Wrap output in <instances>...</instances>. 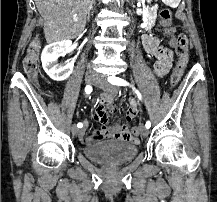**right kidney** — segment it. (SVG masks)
Here are the masks:
<instances>
[{
	"label": "right kidney",
	"instance_id": "ca27d5eb",
	"mask_svg": "<svg viewBox=\"0 0 217 202\" xmlns=\"http://www.w3.org/2000/svg\"><path fill=\"white\" fill-rule=\"evenodd\" d=\"M71 46V40H62V42H54V44H49V46L44 48L41 54V62L46 74L52 80H58L60 82V80L69 78L74 68L73 58L68 60V62H64V64H58L57 60L60 56L66 54Z\"/></svg>",
	"mask_w": 217,
	"mask_h": 202
}]
</instances>
